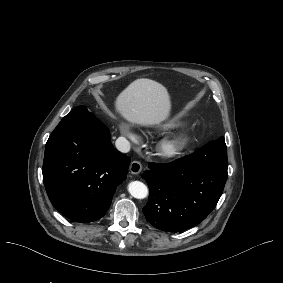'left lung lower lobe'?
I'll return each instance as SVG.
<instances>
[{
  "instance_id": "obj_1",
  "label": "left lung lower lobe",
  "mask_w": 283,
  "mask_h": 283,
  "mask_svg": "<svg viewBox=\"0 0 283 283\" xmlns=\"http://www.w3.org/2000/svg\"><path fill=\"white\" fill-rule=\"evenodd\" d=\"M227 167V148L220 139L173 162L149 163L142 174L150 189L143 208L146 220L166 232L197 225L216 207Z\"/></svg>"
}]
</instances>
